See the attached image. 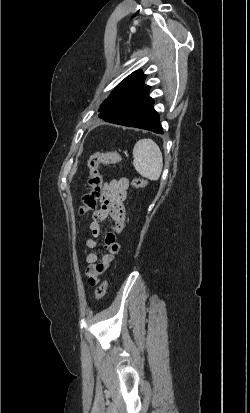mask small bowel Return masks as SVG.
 Instances as JSON below:
<instances>
[{
    "instance_id": "small-bowel-1",
    "label": "small bowel",
    "mask_w": 250,
    "mask_h": 413,
    "mask_svg": "<svg viewBox=\"0 0 250 413\" xmlns=\"http://www.w3.org/2000/svg\"><path fill=\"white\" fill-rule=\"evenodd\" d=\"M129 180L120 178L112 180L104 189L98 208L93 212V221L88 225L87 231L90 235L85 242L88 249H95L98 246L97 238L100 236V222L109 218L112 222L111 231L105 237V254L99 257L91 252L85 257L87 268L85 271L87 282L90 286L99 283V276L104 273L115 260L116 255L121 250V245L116 241L125 225L124 202L127 198Z\"/></svg>"
}]
</instances>
